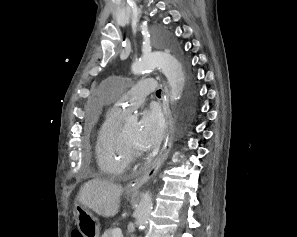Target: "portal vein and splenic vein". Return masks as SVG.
Listing matches in <instances>:
<instances>
[{
	"instance_id": "portal-vein-and-splenic-vein-1",
	"label": "portal vein and splenic vein",
	"mask_w": 297,
	"mask_h": 237,
	"mask_svg": "<svg viewBox=\"0 0 297 237\" xmlns=\"http://www.w3.org/2000/svg\"><path fill=\"white\" fill-rule=\"evenodd\" d=\"M112 237H122V230L120 228H116L112 232Z\"/></svg>"
}]
</instances>
